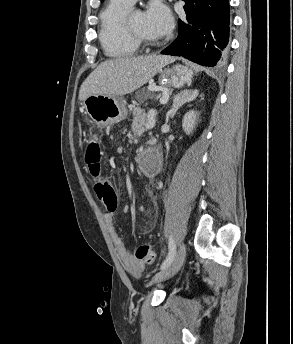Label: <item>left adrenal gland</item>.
I'll use <instances>...</instances> for the list:
<instances>
[{"mask_svg":"<svg viewBox=\"0 0 293 344\" xmlns=\"http://www.w3.org/2000/svg\"><path fill=\"white\" fill-rule=\"evenodd\" d=\"M198 96L197 90H184L174 96L171 109L167 113L168 118H173L178 109L187 102L194 100Z\"/></svg>","mask_w":293,"mask_h":344,"instance_id":"1","label":"left adrenal gland"}]
</instances>
